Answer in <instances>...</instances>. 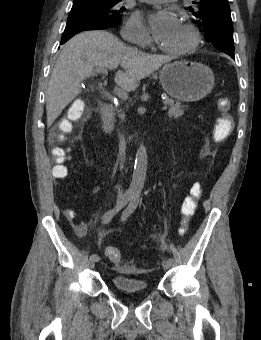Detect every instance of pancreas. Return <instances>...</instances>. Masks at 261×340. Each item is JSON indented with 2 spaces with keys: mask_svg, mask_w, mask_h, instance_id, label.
<instances>
[{
  "mask_svg": "<svg viewBox=\"0 0 261 340\" xmlns=\"http://www.w3.org/2000/svg\"><path fill=\"white\" fill-rule=\"evenodd\" d=\"M165 105L170 106L168 111V116L171 118H179L184 115V106L180 102H175L174 100L167 98L164 101Z\"/></svg>",
  "mask_w": 261,
  "mask_h": 340,
  "instance_id": "obj_1",
  "label": "pancreas"
}]
</instances>
